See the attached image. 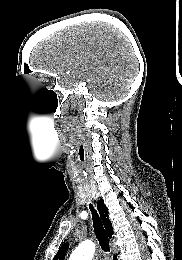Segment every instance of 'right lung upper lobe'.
I'll return each mask as SVG.
<instances>
[{
    "instance_id": "obj_1",
    "label": "right lung upper lobe",
    "mask_w": 182,
    "mask_h": 260,
    "mask_svg": "<svg viewBox=\"0 0 182 260\" xmlns=\"http://www.w3.org/2000/svg\"><path fill=\"white\" fill-rule=\"evenodd\" d=\"M97 209H98V211L100 213V216H101V219H102L103 224L105 226V229H106L109 237L111 238V236L113 235V228H112L111 221L108 218V209L104 205V201L102 199H100L97 202ZM68 248H69V243L63 244L59 248V251H58V253L56 254V256L54 257L53 260H64Z\"/></svg>"
}]
</instances>
